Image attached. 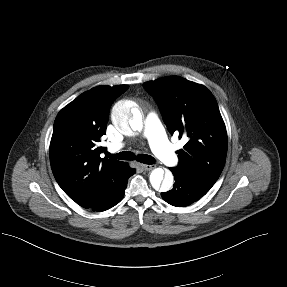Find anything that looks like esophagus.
I'll return each instance as SVG.
<instances>
[{
  "instance_id": "1",
  "label": "esophagus",
  "mask_w": 287,
  "mask_h": 287,
  "mask_svg": "<svg viewBox=\"0 0 287 287\" xmlns=\"http://www.w3.org/2000/svg\"><path fill=\"white\" fill-rule=\"evenodd\" d=\"M142 167L144 168V170L150 171V170H153L156 166L154 164H150V165L144 164Z\"/></svg>"
}]
</instances>
